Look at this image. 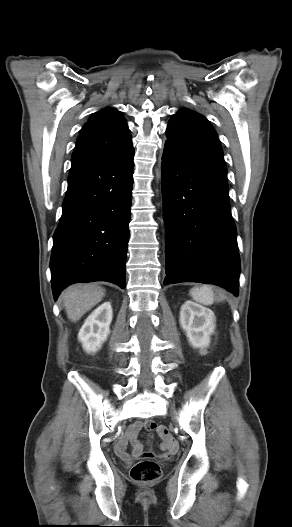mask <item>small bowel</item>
Instances as JSON below:
<instances>
[{"instance_id": "obj_1", "label": "small bowel", "mask_w": 292, "mask_h": 527, "mask_svg": "<svg viewBox=\"0 0 292 527\" xmlns=\"http://www.w3.org/2000/svg\"><path fill=\"white\" fill-rule=\"evenodd\" d=\"M142 429V425L140 423H134L132 424L125 434L122 436V438L117 442L115 445V452L116 454L126 460H130V455L127 452V446L128 444H131L133 447L132 454L136 458H144L147 457L148 459H152L154 457V453L151 451H144L143 446L137 439V435L139 431ZM152 429L154 432L159 433L162 438V443L160 445L161 452H159L158 457L161 460L167 461V456L171 457L173 453L177 450V443L176 441L171 437L170 434H168L169 429L167 426H163L162 423H154L152 426Z\"/></svg>"}]
</instances>
